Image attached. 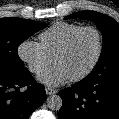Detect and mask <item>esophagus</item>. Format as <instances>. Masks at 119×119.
Returning a JSON list of instances; mask_svg holds the SVG:
<instances>
[{"instance_id": "obj_1", "label": "esophagus", "mask_w": 119, "mask_h": 119, "mask_svg": "<svg viewBox=\"0 0 119 119\" xmlns=\"http://www.w3.org/2000/svg\"><path fill=\"white\" fill-rule=\"evenodd\" d=\"M45 91H46L47 95H52V94H56L57 93V90H55L53 88H49V87H46Z\"/></svg>"}]
</instances>
